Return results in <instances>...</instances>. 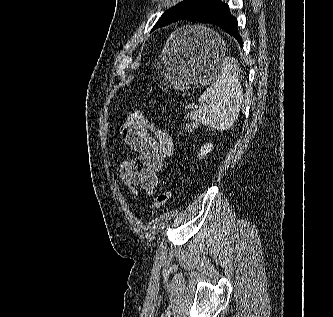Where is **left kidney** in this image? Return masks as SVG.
<instances>
[{
  "label": "left kidney",
  "instance_id": "1",
  "mask_svg": "<svg viewBox=\"0 0 333 317\" xmlns=\"http://www.w3.org/2000/svg\"><path fill=\"white\" fill-rule=\"evenodd\" d=\"M213 144L207 143L204 146L201 147L200 153H199V158L202 159L204 156H206L209 152L212 151Z\"/></svg>",
  "mask_w": 333,
  "mask_h": 317
}]
</instances>
